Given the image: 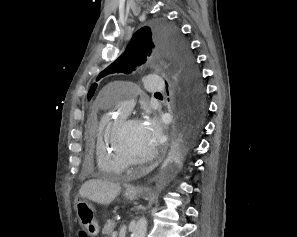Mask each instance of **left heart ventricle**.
I'll return each instance as SVG.
<instances>
[{
  "label": "left heart ventricle",
  "instance_id": "obj_1",
  "mask_svg": "<svg viewBox=\"0 0 297 237\" xmlns=\"http://www.w3.org/2000/svg\"><path fill=\"white\" fill-rule=\"evenodd\" d=\"M123 141L128 150L136 157H145L155 150L144 137L138 121L125 129Z\"/></svg>",
  "mask_w": 297,
  "mask_h": 237
}]
</instances>
